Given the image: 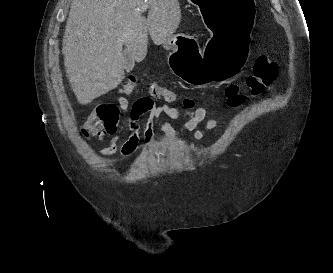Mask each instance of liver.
I'll use <instances>...</instances> for the list:
<instances>
[{"mask_svg":"<svg viewBox=\"0 0 333 273\" xmlns=\"http://www.w3.org/2000/svg\"><path fill=\"white\" fill-rule=\"evenodd\" d=\"M148 3L147 18L140 11ZM178 0H73L63 37L66 73L80 104L115 89L124 79L123 45L134 61L177 30Z\"/></svg>","mask_w":333,"mask_h":273,"instance_id":"6515ba94","label":"liver"}]
</instances>
